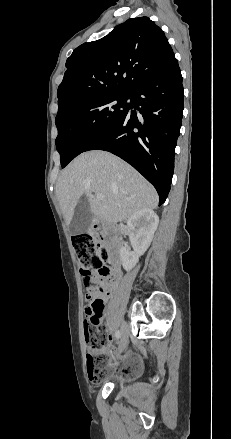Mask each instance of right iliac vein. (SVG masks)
I'll use <instances>...</instances> for the list:
<instances>
[{"instance_id": "obj_1", "label": "right iliac vein", "mask_w": 231, "mask_h": 439, "mask_svg": "<svg viewBox=\"0 0 231 439\" xmlns=\"http://www.w3.org/2000/svg\"><path fill=\"white\" fill-rule=\"evenodd\" d=\"M128 339H129V330H128L127 325L125 323H123L121 326V339H120V343H119L117 356H119L126 348V346L128 344Z\"/></svg>"}]
</instances>
